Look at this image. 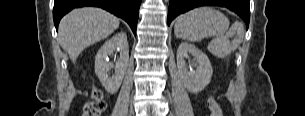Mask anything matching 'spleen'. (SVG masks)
Returning <instances> with one entry per match:
<instances>
[{
	"mask_svg": "<svg viewBox=\"0 0 305 116\" xmlns=\"http://www.w3.org/2000/svg\"><path fill=\"white\" fill-rule=\"evenodd\" d=\"M228 28L229 20L223 13L210 7H198L177 17L174 33L177 38L190 42L215 37L213 44L223 46Z\"/></svg>",
	"mask_w": 305,
	"mask_h": 116,
	"instance_id": "1",
	"label": "spleen"
}]
</instances>
